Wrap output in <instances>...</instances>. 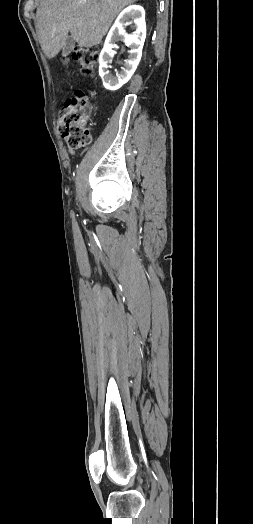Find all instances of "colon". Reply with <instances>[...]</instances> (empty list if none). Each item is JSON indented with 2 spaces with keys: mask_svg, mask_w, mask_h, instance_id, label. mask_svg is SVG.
<instances>
[{
  "mask_svg": "<svg viewBox=\"0 0 253 524\" xmlns=\"http://www.w3.org/2000/svg\"><path fill=\"white\" fill-rule=\"evenodd\" d=\"M83 75H92L100 50L95 46L78 47L73 52ZM88 99L80 90H73L63 102L58 116V131L72 149L89 146L92 142L88 126Z\"/></svg>",
  "mask_w": 253,
  "mask_h": 524,
  "instance_id": "5ec220e1",
  "label": "colon"
}]
</instances>
